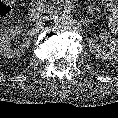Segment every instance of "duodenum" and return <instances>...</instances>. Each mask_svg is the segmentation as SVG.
<instances>
[{
  "instance_id": "duodenum-1",
  "label": "duodenum",
  "mask_w": 118,
  "mask_h": 118,
  "mask_svg": "<svg viewBox=\"0 0 118 118\" xmlns=\"http://www.w3.org/2000/svg\"><path fill=\"white\" fill-rule=\"evenodd\" d=\"M36 14H37V12L34 11V15H36Z\"/></svg>"
}]
</instances>
